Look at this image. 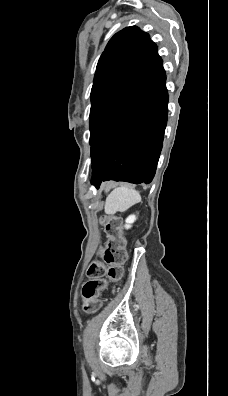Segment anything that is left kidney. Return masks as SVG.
Masks as SVG:
<instances>
[{
  "mask_svg": "<svg viewBox=\"0 0 228 396\" xmlns=\"http://www.w3.org/2000/svg\"><path fill=\"white\" fill-rule=\"evenodd\" d=\"M136 221V216L133 214V215H130L127 219H126V224H125V228L126 229H129V228H131V226H132V224L134 223Z\"/></svg>",
  "mask_w": 228,
  "mask_h": 396,
  "instance_id": "obj_1",
  "label": "left kidney"
}]
</instances>
